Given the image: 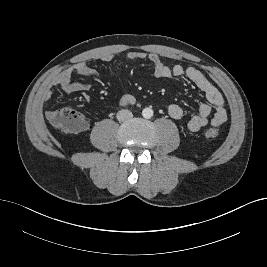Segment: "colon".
Masks as SVG:
<instances>
[{
  "label": "colon",
  "instance_id": "5ec220e1",
  "mask_svg": "<svg viewBox=\"0 0 267 267\" xmlns=\"http://www.w3.org/2000/svg\"><path fill=\"white\" fill-rule=\"evenodd\" d=\"M50 121L55 128L67 133L78 132L84 125L82 115L70 107L56 110ZM205 135L207 138L214 139L218 136V131L211 128L205 132Z\"/></svg>",
  "mask_w": 267,
  "mask_h": 267
}]
</instances>
